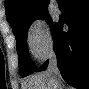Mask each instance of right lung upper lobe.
I'll list each match as a JSON object with an SVG mask.
<instances>
[{
	"label": "right lung upper lobe",
	"mask_w": 89,
	"mask_h": 89,
	"mask_svg": "<svg viewBox=\"0 0 89 89\" xmlns=\"http://www.w3.org/2000/svg\"><path fill=\"white\" fill-rule=\"evenodd\" d=\"M48 0H5L6 17L13 27L25 18L47 10Z\"/></svg>",
	"instance_id": "1"
}]
</instances>
